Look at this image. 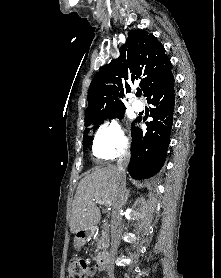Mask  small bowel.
Wrapping results in <instances>:
<instances>
[{
	"label": "small bowel",
	"mask_w": 221,
	"mask_h": 278,
	"mask_svg": "<svg viewBox=\"0 0 221 278\" xmlns=\"http://www.w3.org/2000/svg\"><path fill=\"white\" fill-rule=\"evenodd\" d=\"M98 269L96 267H91L89 269L87 277H94L97 273Z\"/></svg>",
	"instance_id": "small-bowel-1"
}]
</instances>
